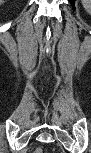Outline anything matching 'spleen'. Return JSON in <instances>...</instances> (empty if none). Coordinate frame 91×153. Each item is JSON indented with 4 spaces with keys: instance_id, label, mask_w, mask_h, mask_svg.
<instances>
[{
    "instance_id": "spleen-1",
    "label": "spleen",
    "mask_w": 91,
    "mask_h": 153,
    "mask_svg": "<svg viewBox=\"0 0 91 153\" xmlns=\"http://www.w3.org/2000/svg\"><path fill=\"white\" fill-rule=\"evenodd\" d=\"M82 5L87 11H89L91 7V2L89 0H83Z\"/></svg>"
}]
</instances>
